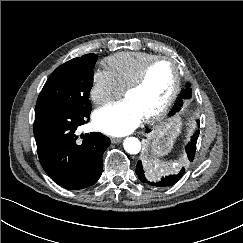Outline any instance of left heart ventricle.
<instances>
[{"label": "left heart ventricle", "mask_w": 243, "mask_h": 243, "mask_svg": "<svg viewBox=\"0 0 243 243\" xmlns=\"http://www.w3.org/2000/svg\"><path fill=\"white\" fill-rule=\"evenodd\" d=\"M175 82V68L169 61L156 63L146 81L125 97L131 100L144 114L156 110L169 96Z\"/></svg>", "instance_id": "left-heart-ventricle-1"}]
</instances>
